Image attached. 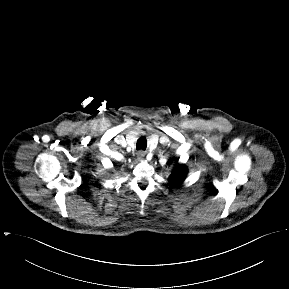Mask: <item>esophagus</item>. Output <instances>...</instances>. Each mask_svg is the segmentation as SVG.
<instances>
[{
  "label": "esophagus",
  "mask_w": 289,
  "mask_h": 289,
  "mask_svg": "<svg viewBox=\"0 0 289 289\" xmlns=\"http://www.w3.org/2000/svg\"><path fill=\"white\" fill-rule=\"evenodd\" d=\"M146 153L144 151H138L137 152V157L139 160H143V158L145 157Z\"/></svg>",
  "instance_id": "esophagus-1"
}]
</instances>
